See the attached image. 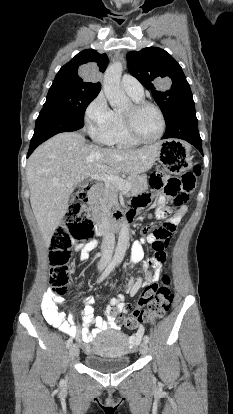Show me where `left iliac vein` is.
I'll return each instance as SVG.
<instances>
[{
    "label": "left iliac vein",
    "instance_id": "1",
    "mask_svg": "<svg viewBox=\"0 0 233 414\" xmlns=\"http://www.w3.org/2000/svg\"><path fill=\"white\" fill-rule=\"evenodd\" d=\"M139 351L141 354L146 355L148 353V345L145 341H143L140 345Z\"/></svg>",
    "mask_w": 233,
    "mask_h": 414
}]
</instances>
